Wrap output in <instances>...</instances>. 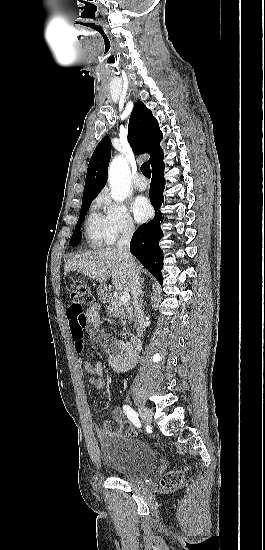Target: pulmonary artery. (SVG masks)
Listing matches in <instances>:
<instances>
[{
  "label": "pulmonary artery",
  "mask_w": 265,
  "mask_h": 550,
  "mask_svg": "<svg viewBox=\"0 0 265 550\" xmlns=\"http://www.w3.org/2000/svg\"><path fill=\"white\" fill-rule=\"evenodd\" d=\"M147 186H148V183L146 179L142 175H139L134 182V187L138 191H144L147 188Z\"/></svg>",
  "instance_id": "obj_1"
}]
</instances>
